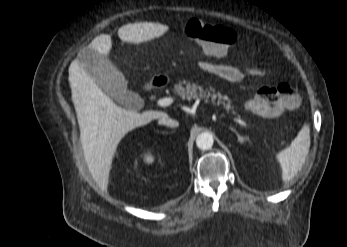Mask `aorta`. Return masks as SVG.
<instances>
[{
    "mask_svg": "<svg viewBox=\"0 0 347 247\" xmlns=\"http://www.w3.org/2000/svg\"><path fill=\"white\" fill-rule=\"evenodd\" d=\"M213 136L211 133L204 132L197 136L196 145L201 150H209L213 146Z\"/></svg>",
    "mask_w": 347,
    "mask_h": 247,
    "instance_id": "762f6f07",
    "label": "aorta"
}]
</instances>
